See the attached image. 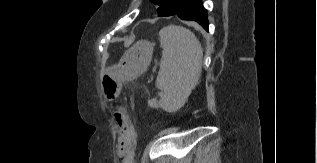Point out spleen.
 Masks as SVG:
<instances>
[{
	"instance_id": "spleen-1",
	"label": "spleen",
	"mask_w": 317,
	"mask_h": 163,
	"mask_svg": "<svg viewBox=\"0 0 317 163\" xmlns=\"http://www.w3.org/2000/svg\"><path fill=\"white\" fill-rule=\"evenodd\" d=\"M162 59L156 80L159 106L176 112L195 88L202 71L203 49L199 40L181 26H166L159 32Z\"/></svg>"
}]
</instances>
